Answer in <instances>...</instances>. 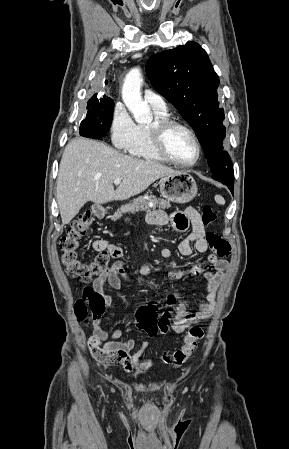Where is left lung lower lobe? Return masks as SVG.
Segmentation results:
<instances>
[{
	"mask_svg": "<svg viewBox=\"0 0 289 449\" xmlns=\"http://www.w3.org/2000/svg\"><path fill=\"white\" fill-rule=\"evenodd\" d=\"M223 184L227 185L230 189L231 193L233 194V188H234V181H224Z\"/></svg>",
	"mask_w": 289,
	"mask_h": 449,
	"instance_id": "left-lung-lower-lobe-1",
	"label": "left lung lower lobe"
}]
</instances>
